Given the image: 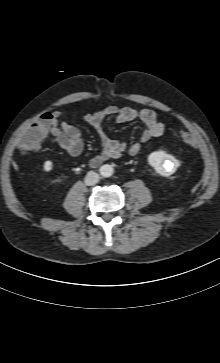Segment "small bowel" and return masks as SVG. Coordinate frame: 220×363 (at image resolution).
<instances>
[{"label": "small bowel", "mask_w": 220, "mask_h": 363, "mask_svg": "<svg viewBox=\"0 0 220 363\" xmlns=\"http://www.w3.org/2000/svg\"><path fill=\"white\" fill-rule=\"evenodd\" d=\"M115 116L120 123L133 120H140L146 128L142 132L139 140L128 145L112 139L103 127L105 118ZM59 112L54 113V119L49 127L52 141L72 157L82 154L84 144L81 138V131L76 126L63 121L58 122ZM84 120L95 128L100 138L102 152L89 161L92 167L99 166L101 163L111 159H117L125 152L130 155H137L143 146L151 139L163 134L165 126L158 120L157 115L150 109H135L132 107H119L116 105L108 106L94 113H87ZM40 144L29 145L26 142L25 134L19 141V149L22 153L36 151Z\"/></svg>", "instance_id": "c3829d8e"}]
</instances>
